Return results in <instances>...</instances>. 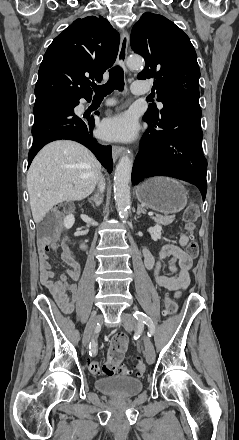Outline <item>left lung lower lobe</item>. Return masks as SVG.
<instances>
[{
	"label": "left lung lower lobe",
	"mask_w": 239,
	"mask_h": 440,
	"mask_svg": "<svg viewBox=\"0 0 239 440\" xmlns=\"http://www.w3.org/2000/svg\"><path fill=\"white\" fill-rule=\"evenodd\" d=\"M143 119L149 128L133 165L132 182L171 176L196 185L205 199L207 161L202 151L199 102L180 100L164 107L157 120Z\"/></svg>",
	"instance_id": "0a47b994"
}]
</instances>
